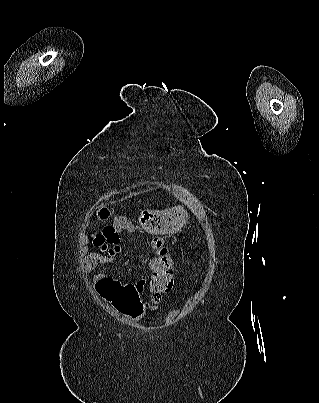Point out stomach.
<instances>
[{"mask_svg":"<svg viewBox=\"0 0 319 403\" xmlns=\"http://www.w3.org/2000/svg\"><path fill=\"white\" fill-rule=\"evenodd\" d=\"M139 227L145 229L148 238L152 234L170 235L179 232L186 224L188 214L181 207L165 211L138 210Z\"/></svg>","mask_w":319,"mask_h":403,"instance_id":"0dacf381","label":"stomach"}]
</instances>
